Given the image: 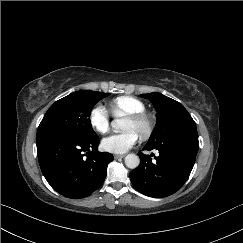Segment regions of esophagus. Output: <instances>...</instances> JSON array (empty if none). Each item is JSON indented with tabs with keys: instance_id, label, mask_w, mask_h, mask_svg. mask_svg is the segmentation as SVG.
I'll list each match as a JSON object with an SVG mask.
<instances>
[{
	"instance_id": "1",
	"label": "esophagus",
	"mask_w": 243,
	"mask_h": 243,
	"mask_svg": "<svg viewBox=\"0 0 243 243\" xmlns=\"http://www.w3.org/2000/svg\"><path fill=\"white\" fill-rule=\"evenodd\" d=\"M124 157H125V155H119V154L114 155L115 159L124 158Z\"/></svg>"
}]
</instances>
